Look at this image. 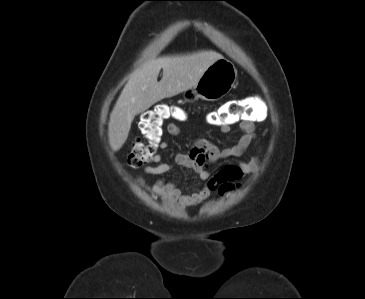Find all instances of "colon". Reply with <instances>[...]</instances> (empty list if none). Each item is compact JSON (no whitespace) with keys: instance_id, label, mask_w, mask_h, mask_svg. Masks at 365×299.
<instances>
[{"instance_id":"colon-1","label":"colon","mask_w":365,"mask_h":299,"mask_svg":"<svg viewBox=\"0 0 365 299\" xmlns=\"http://www.w3.org/2000/svg\"><path fill=\"white\" fill-rule=\"evenodd\" d=\"M256 115L255 106L251 100H239L210 112L207 119L212 125L222 127L237 121L249 120ZM185 119V110L176 105L158 104L143 112L139 128L147 141L135 140L132 143L127 153L128 165L137 168L152 162L157 155L158 145L162 139L164 123L168 120L183 121ZM216 187L219 194L222 195L233 191L236 185L224 183Z\"/></svg>"}]
</instances>
